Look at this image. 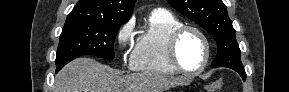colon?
I'll return each instance as SVG.
<instances>
[{"instance_id":"1","label":"colon","mask_w":289,"mask_h":92,"mask_svg":"<svg viewBox=\"0 0 289 92\" xmlns=\"http://www.w3.org/2000/svg\"><path fill=\"white\" fill-rule=\"evenodd\" d=\"M221 87H222V81L217 80V81H214V82L210 83V84L207 86L206 90H207L208 92L219 91Z\"/></svg>"}]
</instances>
